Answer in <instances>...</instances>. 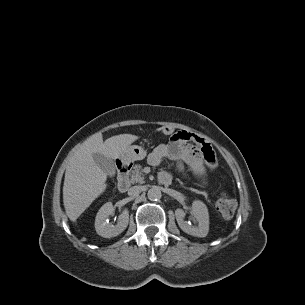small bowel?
Listing matches in <instances>:
<instances>
[{"instance_id":"1","label":"small bowel","mask_w":305,"mask_h":305,"mask_svg":"<svg viewBox=\"0 0 305 305\" xmlns=\"http://www.w3.org/2000/svg\"><path fill=\"white\" fill-rule=\"evenodd\" d=\"M165 159L174 161L181 171L187 167L202 181L206 179L207 172L217 166L210 144L201 136L187 131H179L167 144L157 146L148 156L153 166L160 165ZM160 176L171 179L167 171H162Z\"/></svg>"}]
</instances>
